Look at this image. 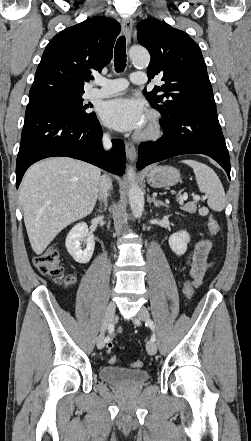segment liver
<instances>
[{"instance_id": "1", "label": "liver", "mask_w": 251, "mask_h": 441, "mask_svg": "<svg viewBox=\"0 0 251 441\" xmlns=\"http://www.w3.org/2000/svg\"><path fill=\"white\" fill-rule=\"evenodd\" d=\"M100 179L98 167L68 157L43 160L27 170L19 201L29 241L37 255L61 230L93 211Z\"/></svg>"}]
</instances>
